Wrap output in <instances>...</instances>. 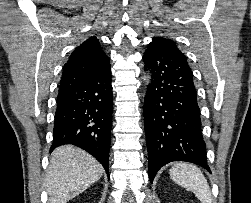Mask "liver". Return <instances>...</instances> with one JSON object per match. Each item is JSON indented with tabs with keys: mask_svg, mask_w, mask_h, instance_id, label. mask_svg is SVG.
I'll list each match as a JSON object with an SVG mask.
<instances>
[{
	"mask_svg": "<svg viewBox=\"0 0 251 203\" xmlns=\"http://www.w3.org/2000/svg\"><path fill=\"white\" fill-rule=\"evenodd\" d=\"M103 174L97 160L84 150L61 146L51 154L46 178L49 203H66L76 197Z\"/></svg>",
	"mask_w": 251,
	"mask_h": 203,
	"instance_id": "1",
	"label": "liver"
}]
</instances>
